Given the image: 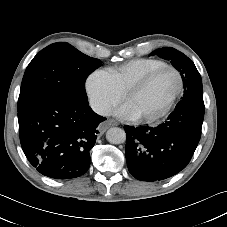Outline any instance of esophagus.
Listing matches in <instances>:
<instances>
[{
    "label": "esophagus",
    "mask_w": 227,
    "mask_h": 227,
    "mask_svg": "<svg viewBox=\"0 0 227 227\" xmlns=\"http://www.w3.org/2000/svg\"><path fill=\"white\" fill-rule=\"evenodd\" d=\"M108 125H109V126H117L118 123H117L116 121H114V120H109V121H108Z\"/></svg>",
    "instance_id": "obj_1"
}]
</instances>
